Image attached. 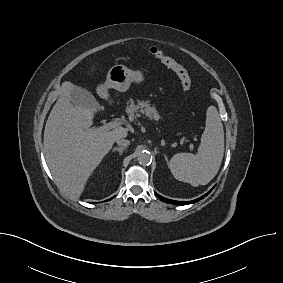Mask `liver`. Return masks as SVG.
<instances>
[{"instance_id": "1", "label": "liver", "mask_w": 283, "mask_h": 283, "mask_svg": "<svg viewBox=\"0 0 283 283\" xmlns=\"http://www.w3.org/2000/svg\"><path fill=\"white\" fill-rule=\"evenodd\" d=\"M67 83L52 108L44 130V153L51 174L62 192L78 199L85 184L118 138L128 132L123 127L112 131L90 128L97 106L75 107Z\"/></svg>"}]
</instances>
